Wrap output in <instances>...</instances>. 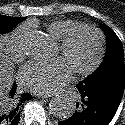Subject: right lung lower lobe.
I'll return each instance as SVG.
<instances>
[{
    "label": "right lung lower lobe",
    "instance_id": "right-lung-lower-lobe-1",
    "mask_svg": "<svg viewBox=\"0 0 125 125\" xmlns=\"http://www.w3.org/2000/svg\"><path fill=\"white\" fill-rule=\"evenodd\" d=\"M15 92L16 84L13 85L8 96L13 100L12 105L0 106V125H17L20 119L19 106L31 98L29 93H24L19 97Z\"/></svg>",
    "mask_w": 125,
    "mask_h": 125
}]
</instances>
